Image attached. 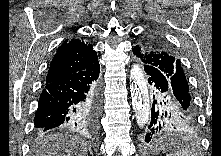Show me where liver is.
Returning a JSON list of instances; mask_svg holds the SVG:
<instances>
[{
    "instance_id": "liver-1",
    "label": "liver",
    "mask_w": 221,
    "mask_h": 156,
    "mask_svg": "<svg viewBox=\"0 0 221 156\" xmlns=\"http://www.w3.org/2000/svg\"><path fill=\"white\" fill-rule=\"evenodd\" d=\"M32 156H87L88 145L75 136L57 134L35 143Z\"/></svg>"
}]
</instances>
